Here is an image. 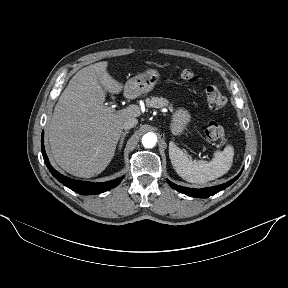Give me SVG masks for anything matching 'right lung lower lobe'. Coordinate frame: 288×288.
Returning <instances> with one entry per match:
<instances>
[{
    "label": "right lung lower lobe",
    "mask_w": 288,
    "mask_h": 288,
    "mask_svg": "<svg viewBox=\"0 0 288 288\" xmlns=\"http://www.w3.org/2000/svg\"><path fill=\"white\" fill-rule=\"evenodd\" d=\"M42 139H41V150L42 155L44 158V162L46 163L47 168L51 172V174L61 183H63L65 186L70 188L71 190L77 192L81 195H93V194H100L102 192L108 191L120 184L124 176L107 182H86V181H80V180H74L69 177H66L62 174H60L58 171H56L49 162V159L47 158L45 149H44V132H42Z\"/></svg>",
    "instance_id": "obj_1"
}]
</instances>
